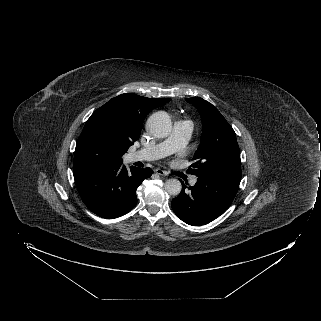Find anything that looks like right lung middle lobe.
Here are the masks:
<instances>
[{
    "label": "right lung middle lobe",
    "mask_w": 321,
    "mask_h": 321,
    "mask_svg": "<svg viewBox=\"0 0 321 321\" xmlns=\"http://www.w3.org/2000/svg\"><path fill=\"white\" fill-rule=\"evenodd\" d=\"M125 152L119 138L104 122H86L76 143L73 173L121 164Z\"/></svg>",
    "instance_id": "right-lung-middle-lobe-1"
}]
</instances>
